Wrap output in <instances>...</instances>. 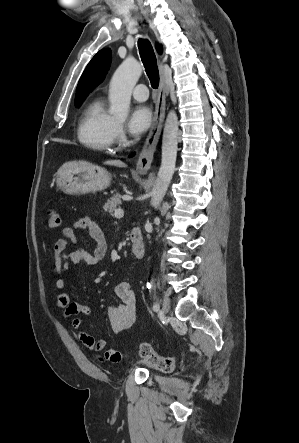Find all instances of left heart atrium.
I'll return each mask as SVG.
<instances>
[{
  "label": "left heart atrium",
  "mask_w": 299,
  "mask_h": 443,
  "mask_svg": "<svg viewBox=\"0 0 299 443\" xmlns=\"http://www.w3.org/2000/svg\"><path fill=\"white\" fill-rule=\"evenodd\" d=\"M151 122V110L145 105H138L131 111L128 120V131L131 135H140L150 127Z\"/></svg>",
  "instance_id": "obj_1"
}]
</instances>
